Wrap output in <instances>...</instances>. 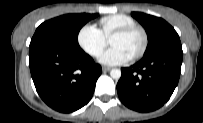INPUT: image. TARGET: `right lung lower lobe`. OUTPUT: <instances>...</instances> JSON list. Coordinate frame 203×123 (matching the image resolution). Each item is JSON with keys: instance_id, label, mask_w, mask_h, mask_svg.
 <instances>
[{"instance_id": "98d812e1", "label": "right lung lower lobe", "mask_w": 203, "mask_h": 123, "mask_svg": "<svg viewBox=\"0 0 203 123\" xmlns=\"http://www.w3.org/2000/svg\"><path fill=\"white\" fill-rule=\"evenodd\" d=\"M31 76L42 100L52 109L73 112L87 104L102 73L81 48L35 42L29 46Z\"/></svg>"}]
</instances>
